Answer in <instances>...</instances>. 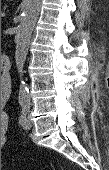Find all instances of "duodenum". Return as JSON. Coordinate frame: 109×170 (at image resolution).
Returning <instances> with one entry per match:
<instances>
[{
    "instance_id": "obj_1",
    "label": "duodenum",
    "mask_w": 109,
    "mask_h": 170,
    "mask_svg": "<svg viewBox=\"0 0 109 170\" xmlns=\"http://www.w3.org/2000/svg\"><path fill=\"white\" fill-rule=\"evenodd\" d=\"M8 63H9L8 57L2 58V60H1V69H2L4 75L7 72ZM9 84H10L9 79L6 76H4L3 82H2L3 89H8Z\"/></svg>"
}]
</instances>
